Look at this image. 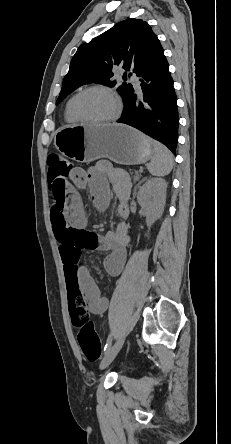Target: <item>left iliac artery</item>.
Listing matches in <instances>:
<instances>
[{
    "label": "left iliac artery",
    "instance_id": "obj_1",
    "mask_svg": "<svg viewBox=\"0 0 231 444\" xmlns=\"http://www.w3.org/2000/svg\"><path fill=\"white\" fill-rule=\"evenodd\" d=\"M112 340H113V334L111 333L107 339V343L104 347V351L106 352L107 350H109V348L111 347L112 344Z\"/></svg>",
    "mask_w": 231,
    "mask_h": 444
}]
</instances>
